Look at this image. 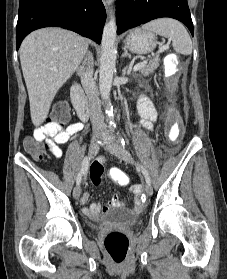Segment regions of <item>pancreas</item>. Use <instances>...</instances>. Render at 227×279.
<instances>
[{"mask_svg": "<svg viewBox=\"0 0 227 279\" xmlns=\"http://www.w3.org/2000/svg\"><path fill=\"white\" fill-rule=\"evenodd\" d=\"M158 66H159V59L156 58L152 60L150 63L143 66L139 71L141 75L148 76L152 74L158 68Z\"/></svg>", "mask_w": 227, "mask_h": 279, "instance_id": "1", "label": "pancreas"}]
</instances>
